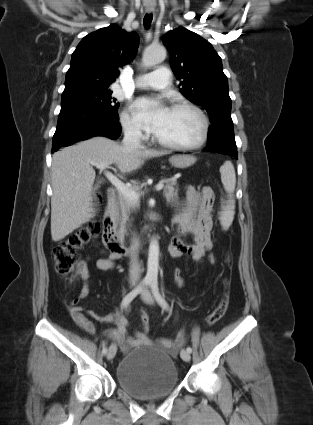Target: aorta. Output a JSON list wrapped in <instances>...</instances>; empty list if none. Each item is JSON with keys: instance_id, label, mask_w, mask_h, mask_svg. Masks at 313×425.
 Listing matches in <instances>:
<instances>
[{"instance_id": "aorta-1", "label": "aorta", "mask_w": 313, "mask_h": 425, "mask_svg": "<svg viewBox=\"0 0 313 425\" xmlns=\"http://www.w3.org/2000/svg\"><path fill=\"white\" fill-rule=\"evenodd\" d=\"M166 58V50L164 47L148 48L142 58L143 66L152 67ZM159 268V244L156 239H152L149 245L147 274L148 279L157 280Z\"/></svg>"}]
</instances>
